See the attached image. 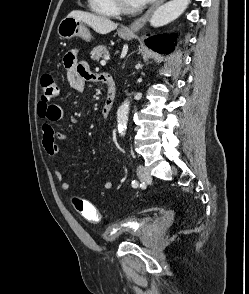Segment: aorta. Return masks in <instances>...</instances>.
<instances>
[{"label":"aorta","mask_w":249,"mask_h":294,"mask_svg":"<svg viewBox=\"0 0 249 294\" xmlns=\"http://www.w3.org/2000/svg\"><path fill=\"white\" fill-rule=\"evenodd\" d=\"M191 0H171L161 5L153 13L150 24L160 27L176 20L187 8ZM130 101L126 99L117 110V127L120 136H124L127 129Z\"/></svg>","instance_id":"1"}]
</instances>
